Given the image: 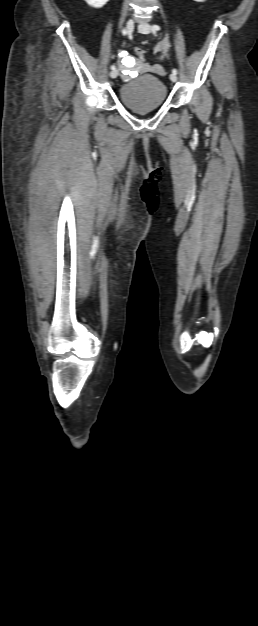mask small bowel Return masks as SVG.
<instances>
[{"mask_svg": "<svg viewBox=\"0 0 258 626\" xmlns=\"http://www.w3.org/2000/svg\"><path fill=\"white\" fill-rule=\"evenodd\" d=\"M156 51L161 59L164 58L167 52V42L166 41L159 42L157 44ZM118 56L120 58V63L124 68H129L127 66V64L129 63L132 64V66H140L142 64L139 60L134 59L133 57L129 56L126 52L121 51L118 53ZM148 69L152 73H158L161 75L164 74V70L158 64L148 66Z\"/></svg>", "mask_w": 258, "mask_h": 626, "instance_id": "1", "label": "small bowel"}]
</instances>
